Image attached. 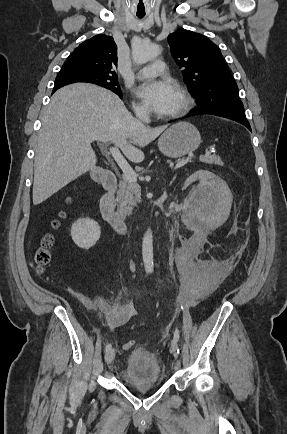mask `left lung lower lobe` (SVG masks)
I'll list each match as a JSON object with an SVG mask.
<instances>
[{
    "label": "left lung lower lobe",
    "mask_w": 287,
    "mask_h": 434,
    "mask_svg": "<svg viewBox=\"0 0 287 434\" xmlns=\"http://www.w3.org/2000/svg\"><path fill=\"white\" fill-rule=\"evenodd\" d=\"M201 114H212L224 118H228L245 125L249 130H251L250 124L246 119L244 107H231L224 106L220 108H209V107H197L193 109L186 117L201 115Z\"/></svg>",
    "instance_id": "0a47b994"
}]
</instances>
